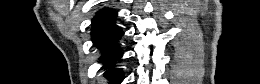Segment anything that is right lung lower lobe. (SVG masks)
Returning a JSON list of instances; mask_svg holds the SVG:
<instances>
[{"mask_svg": "<svg viewBox=\"0 0 260 84\" xmlns=\"http://www.w3.org/2000/svg\"><path fill=\"white\" fill-rule=\"evenodd\" d=\"M116 12L111 9H102L97 12L92 20V41L104 56L102 57L103 67L106 69L104 75L111 83H120L123 73L115 66L116 61L122 56L118 48V39L123 35V31L115 24Z\"/></svg>", "mask_w": 260, "mask_h": 84, "instance_id": "obj_1", "label": "right lung lower lobe"}]
</instances>
